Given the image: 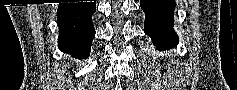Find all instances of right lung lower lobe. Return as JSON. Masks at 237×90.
Segmentation results:
<instances>
[{
    "label": "right lung lower lobe",
    "mask_w": 237,
    "mask_h": 90,
    "mask_svg": "<svg viewBox=\"0 0 237 90\" xmlns=\"http://www.w3.org/2000/svg\"><path fill=\"white\" fill-rule=\"evenodd\" d=\"M95 2L60 3L57 11L59 26L58 45L61 51L75 58H87L95 29L92 15Z\"/></svg>",
    "instance_id": "1"
}]
</instances>
